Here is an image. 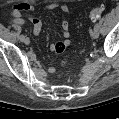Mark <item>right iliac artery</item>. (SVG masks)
I'll return each mask as SVG.
<instances>
[{
  "label": "right iliac artery",
  "mask_w": 119,
  "mask_h": 119,
  "mask_svg": "<svg viewBox=\"0 0 119 119\" xmlns=\"http://www.w3.org/2000/svg\"><path fill=\"white\" fill-rule=\"evenodd\" d=\"M19 38H20L21 41H23V39L25 38V36L22 34V35H20Z\"/></svg>",
  "instance_id": "obj_1"
}]
</instances>
